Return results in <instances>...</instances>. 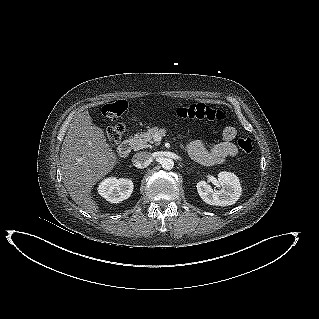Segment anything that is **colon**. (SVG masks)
Returning a JSON list of instances; mask_svg holds the SVG:
<instances>
[{
    "instance_id": "1",
    "label": "colon",
    "mask_w": 319,
    "mask_h": 319,
    "mask_svg": "<svg viewBox=\"0 0 319 319\" xmlns=\"http://www.w3.org/2000/svg\"><path fill=\"white\" fill-rule=\"evenodd\" d=\"M127 102L118 100L112 103L105 104L102 108V114L109 119H117L127 110ZM176 117L192 120V121H222L225 119V113L222 110L213 108L204 103H194L180 106L174 110ZM124 133V125L116 123L106 129V137L111 145H116L121 140ZM238 146L245 154L253 152V142L249 137H240Z\"/></svg>"
}]
</instances>
